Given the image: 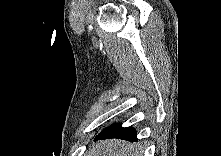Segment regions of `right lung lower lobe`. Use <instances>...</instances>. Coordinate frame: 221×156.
Returning a JSON list of instances; mask_svg holds the SVG:
<instances>
[{
  "mask_svg": "<svg viewBox=\"0 0 221 156\" xmlns=\"http://www.w3.org/2000/svg\"><path fill=\"white\" fill-rule=\"evenodd\" d=\"M108 138H120L131 142H136V131L131 127H122L119 124H114L104 131H102L98 136L95 137V141L98 139H108Z\"/></svg>",
  "mask_w": 221,
  "mask_h": 156,
  "instance_id": "right-lung-lower-lobe-1",
  "label": "right lung lower lobe"
}]
</instances>
